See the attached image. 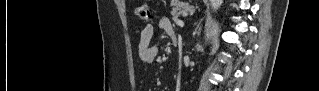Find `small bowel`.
I'll use <instances>...</instances> for the list:
<instances>
[{"mask_svg":"<svg viewBox=\"0 0 319 91\" xmlns=\"http://www.w3.org/2000/svg\"><path fill=\"white\" fill-rule=\"evenodd\" d=\"M158 31L166 33L169 37L175 34L171 21L168 17H162L156 26L152 24L146 25L140 33L138 43V54L142 63L152 64L156 61L159 48L155 44V38Z\"/></svg>","mask_w":319,"mask_h":91,"instance_id":"1","label":"small bowel"}]
</instances>
